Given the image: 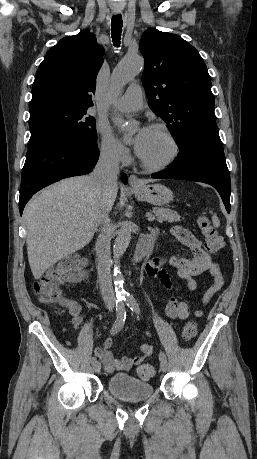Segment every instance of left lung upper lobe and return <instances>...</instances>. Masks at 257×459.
Instances as JSON below:
<instances>
[{"instance_id":"left-lung-upper-lobe-1","label":"left lung upper lobe","mask_w":257,"mask_h":459,"mask_svg":"<svg viewBox=\"0 0 257 459\" xmlns=\"http://www.w3.org/2000/svg\"><path fill=\"white\" fill-rule=\"evenodd\" d=\"M140 52L149 107L169 125L181 150L198 127L216 124L207 67L188 42L157 29L144 32Z\"/></svg>"}]
</instances>
